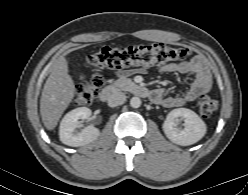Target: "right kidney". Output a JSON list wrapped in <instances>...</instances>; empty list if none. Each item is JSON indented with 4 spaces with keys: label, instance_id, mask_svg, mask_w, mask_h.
Listing matches in <instances>:
<instances>
[{
    "label": "right kidney",
    "instance_id": "obj_1",
    "mask_svg": "<svg viewBox=\"0 0 248 195\" xmlns=\"http://www.w3.org/2000/svg\"><path fill=\"white\" fill-rule=\"evenodd\" d=\"M91 116V110L87 107H79L68 112L60 123L59 136L60 141L71 147L86 145L98 138L99 129L89 125L77 132L76 128L81 126L79 120L88 119Z\"/></svg>",
    "mask_w": 248,
    "mask_h": 195
}]
</instances>
